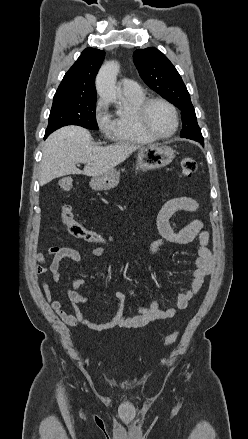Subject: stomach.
<instances>
[{
	"label": "stomach",
	"instance_id": "0dacf381",
	"mask_svg": "<svg viewBox=\"0 0 248 439\" xmlns=\"http://www.w3.org/2000/svg\"><path fill=\"white\" fill-rule=\"evenodd\" d=\"M174 157L175 151L165 144L143 146L137 154L136 169H159L169 165ZM119 180V172L113 169L92 177L90 187L94 190H110L118 185Z\"/></svg>",
	"mask_w": 248,
	"mask_h": 439
}]
</instances>
